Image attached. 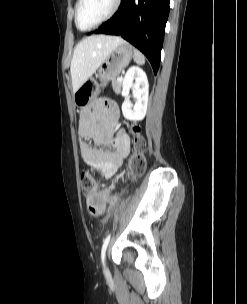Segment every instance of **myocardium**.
I'll use <instances>...</instances> for the list:
<instances>
[{
  "mask_svg": "<svg viewBox=\"0 0 247 304\" xmlns=\"http://www.w3.org/2000/svg\"><path fill=\"white\" fill-rule=\"evenodd\" d=\"M82 2H83V0H77L76 7H75V24H76L77 28L81 31L92 30L94 28H97L101 24L105 23L109 19H111L115 15V13L118 11V9L120 7V4H121V0H114V4H113L112 9L109 11V13L105 17H103L96 24H94V25H92L88 28H81L79 26V23H78V15H79V9H80V6H81Z\"/></svg>",
  "mask_w": 247,
  "mask_h": 304,
  "instance_id": "obj_1",
  "label": "myocardium"
}]
</instances>
